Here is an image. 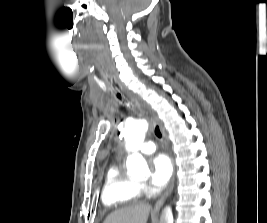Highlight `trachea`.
I'll list each match as a JSON object with an SVG mask.
<instances>
[{
	"mask_svg": "<svg viewBox=\"0 0 267 223\" xmlns=\"http://www.w3.org/2000/svg\"><path fill=\"white\" fill-rule=\"evenodd\" d=\"M121 97H122L121 94L118 92V93H117V98L121 100V99H122ZM155 134H156V136H157L158 138H161V137H162V134H161V131H160V129H159V126H156V127H155Z\"/></svg>",
	"mask_w": 267,
	"mask_h": 223,
	"instance_id": "1",
	"label": "trachea"
}]
</instances>
